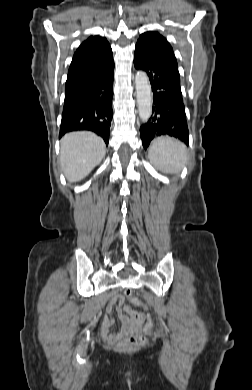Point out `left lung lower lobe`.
<instances>
[{
	"instance_id": "obj_1",
	"label": "left lung lower lobe",
	"mask_w": 252,
	"mask_h": 390,
	"mask_svg": "<svg viewBox=\"0 0 252 390\" xmlns=\"http://www.w3.org/2000/svg\"><path fill=\"white\" fill-rule=\"evenodd\" d=\"M134 66L147 73L153 91L152 116L140 128L144 148L147 149L160 135L173 136L188 144L189 131L178 66L139 42L135 46Z\"/></svg>"
}]
</instances>
